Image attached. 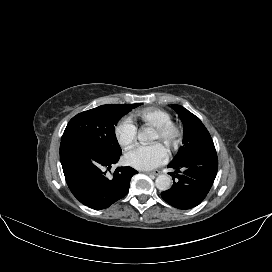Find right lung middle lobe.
Here are the masks:
<instances>
[{
	"mask_svg": "<svg viewBox=\"0 0 272 272\" xmlns=\"http://www.w3.org/2000/svg\"><path fill=\"white\" fill-rule=\"evenodd\" d=\"M141 105H102L74 116L68 123L62 141L79 140L97 145L108 153H119L121 148L115 135V125L120 118Z\"/></svg>",
	"mask_w": 272,
	"mask_h": 272,
	"instance_id": "obj_1",
	"label": "right lung middle lobe"
}]
</instances>
